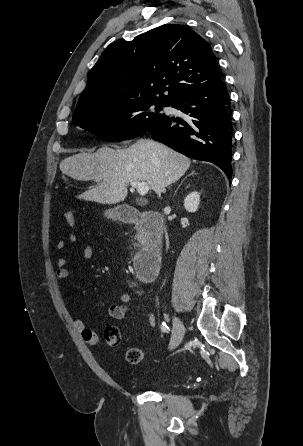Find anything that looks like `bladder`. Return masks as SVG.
Instances as JSON below:
<instances>
[{
    "label": "bladder",
    "mask_w": 303,
    "mask_h": 446,
    "mask_svg": "<svg viewBox=\"0 0 303 446\" xmlns=\"http://www.w3.org/2000/svg\"><path fill=\"white\" fill-rule=\"evenodd\" d=\"M145 384H154L155 383V381H146V382H144Z\"/></svg>",
    "instance_id": "bladder-1"
}]
</instances>
